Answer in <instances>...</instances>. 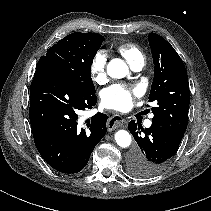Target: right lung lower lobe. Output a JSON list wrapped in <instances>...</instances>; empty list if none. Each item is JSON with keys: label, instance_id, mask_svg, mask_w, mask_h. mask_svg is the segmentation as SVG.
Returning a JSON list of instances; mask_svg holds the SVG:
<instances>
[{"label": "right lung lower lobe", "instance_id": "right-lung-lower-lobe-1", "mask_svg": "<svg viewBox=\"0 0 211 211\" xmlns=\"http://www.w3.org/2000/svg\"><path fill=\"white\" fill-rule=\"evenodd\" d=\"M96 95L47 69H36L30 86L29 118L35 145L42 158L63 173L80 172L104 137L108 116L97 113L78 124L79 110L92 109Z\"/></svg>", "mask_w": 211, "mask_h": 211}]
</instances>
